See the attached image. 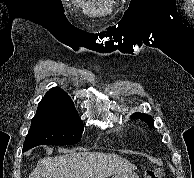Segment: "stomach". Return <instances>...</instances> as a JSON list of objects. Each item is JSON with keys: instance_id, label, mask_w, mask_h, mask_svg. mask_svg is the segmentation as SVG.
Returning <instances> with one entry per match:
<instances>
[{"instance_id": "stomach-1", "label": "stomach", "mask_w": 194, "mask_h": 178, "mask_svg": "<svg viewBox=\"0 0 194 178\" xmlns=\"http://www.w3.org/2000/svg\"><path fill=\"white\" fill-rule=\"evenodd\" d=\"M112 178H139V177L136 173L131 171L115 174Z\"/></svg>"}]
</instances>
